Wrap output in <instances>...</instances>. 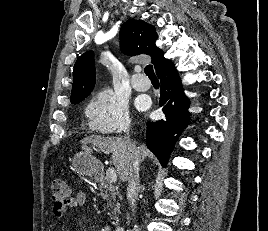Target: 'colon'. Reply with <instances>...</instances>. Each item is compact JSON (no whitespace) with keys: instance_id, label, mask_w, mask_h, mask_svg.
Listing matches in <instances>:
<instances>
[{"instance_id":"colon-1","label":"colon","mask_w":268,"mask_h":231,"mask_svg":"<svg viewBox=\"0 0 268 231\" xmlns=\"http://www.w3.org/2000/svg\"><path fill=\"white\" fill-rule=\"evenodd\" d=\"M51 198L55 207L67 210L70 198V188L67 183L62 179H55L51 183Z\"/></svg>"}]
</instances>
